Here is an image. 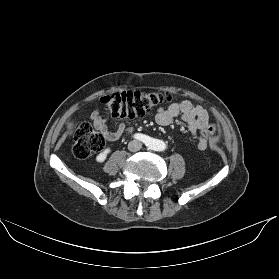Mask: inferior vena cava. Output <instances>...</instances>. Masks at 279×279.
Instances as JSON below:
<instances>
[{"label":"inferior vena cava","mask_w":279,"mask_h":279,"mask_svg":"<svg viewBox=\"0 0 279 279\" xmlns=\"http://www.w3.org/2000/svg\"><path fill=\"white\" fill-rule=\"evenodd\" d=\"M141 148H142V143L137 140H133V141L129 142V144H128V149L131 152H136V151L140 150Z\"/></svg>","instance_id":"inferior-vena-cava-1"}]
</instances>
